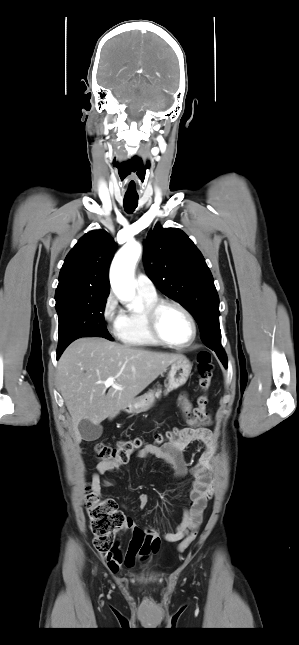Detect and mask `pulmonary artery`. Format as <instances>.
<instances>
[{
  "label": "pulmonary artery",
  "instance_id": "e3ab8cb5",
  "mask_svg": "<svg viewBox=\"0 0 299 645\" xmlns=\"http://www.w3.org/2000/svg\"><path fill=\"white\" fill-rule=\"evenodd\" d=\"M136 289L138 292L148 295H155L156 289L150 278L144 274H139L136 277Z\"/></svg>",
  "mask_w": 299,
  "mask_h": 645
}]
</instances>
